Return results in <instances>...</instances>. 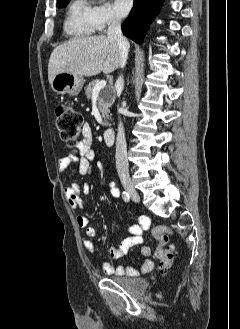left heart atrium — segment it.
Segmentation results:
<instances>
[{"mask_svg": "<svg viewBox=\"0 0 240 329\" xmlns=\"http://www.w3.org/2000/svg\"><path fill=\"white\" fill-rule=\"evenodd\" d=\"M133 5V0H114L113 9L114 12L120 16H126Z\"/></svg>", "mask_w": 240, "mask_h": 329, "instance_id": "1", "label": "left heart atrium"}]
</instances>
